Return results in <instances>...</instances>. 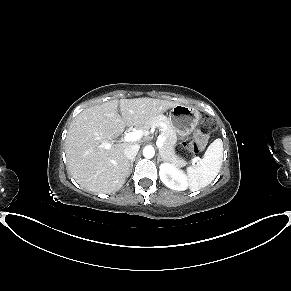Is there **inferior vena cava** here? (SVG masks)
I'll use <instances>...</instances> for the list:
<instances>
[{"mask_svg":"<svg viewBox=\"0 0 291 291\" xmlns=\"http://www.w3.org/2000/svg\"><path fill=\"white\" fill-rule=\"evenodd\" d=\"M140 146L138 144H131L124 150V155L127 159H134L139 151Z\"/></svg>","mask_w":291,"mask_h":291,"instance_id":"obj_1","label":"inferior vena cava"}]
</instances>
